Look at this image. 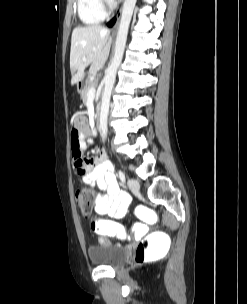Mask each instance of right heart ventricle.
I'll list each match as a JSON object with an SVG mask.
<instances>
[{
    "instance_id": "1",
    "label": "right heart ventricle",
    "mask_w": 247,
    "mask_h": 304,
    "mask_svg": "<svg viewBox=\"0 0 247 304\" xmlns=\"http://www.w3.org/2000/svg\"><path fill=\"white\" fill-rule=\"evenodd\" d=\"M77 14L81 23L88 26L97 25L106 17L99 0H77Z\"/></svg>"
}]
</instances>
